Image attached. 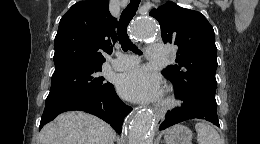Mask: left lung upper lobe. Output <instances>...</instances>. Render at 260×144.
I'll return each mask as SVG.
<instances>
[{"label":"left lung upper lobe","mask_w":260,"mask_h":144,"mask_svg":"<svg viewBox=\"0 0 260 144\" xmlns=\"http://www.w3.org/2000/svg\"><path fill=\"white\" fill-rule=\"evenodd\" d=\"M149 15L159 22L163 42L178 46L177 64L162 70L174 84L175 95L186 104L194 97L216 101L217 48L207 19L171 1L152 9Z\"/></svg>","instance_id":"1"}]
</instances>
